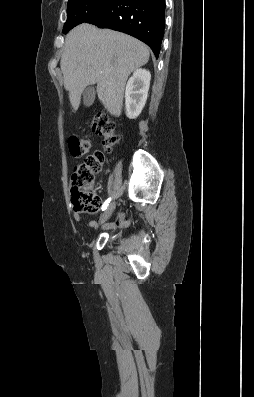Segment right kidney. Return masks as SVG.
Segmentation results:
<instances>
[{
	"label": "right kidney",
	"mask_w": 254,
	"mask_h": 397,
	"mask_svg": "<svg viewBox=\"0 0 254 397\" xmlns=\"http://www.w3.org/2000/svg\"><path fill=\"white\" fill-rule=\"evenodd\" d=\"M151 74L146 69H137L127 82L125 108L129 119L136 118L142 111L148 96Z\"/></svg>",
	"instance_id": "obj_1"
}]
</instances>
